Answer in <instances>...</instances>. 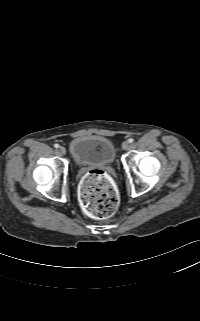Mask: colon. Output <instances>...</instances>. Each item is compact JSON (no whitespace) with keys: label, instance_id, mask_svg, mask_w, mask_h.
<instances>
[{"label":"colon","instance_id":"colon-1","mask_svg":"<svg viewBox=\"0 0 200 321\" xmlns=\"http://www.w3.org/2000/svg\"><path fill=\"white\" fill-rule=\"evenodd\" d=\"M80 201L84 210L92 217H111L119 204L118 194L103 170L89 171L81 181Z\"/></svg>","mask_w":200,"mask_h":321}]
</instances>
